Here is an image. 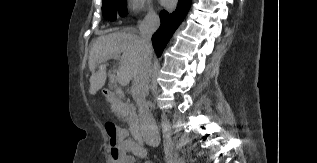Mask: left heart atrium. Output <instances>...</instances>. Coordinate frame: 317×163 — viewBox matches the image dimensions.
I'll use <instances>...</instances> for the list:
<instances>
[{"instance_id":"1","label":"left heart atrium","mask_w":317,"mask_h":163,"mask_svg":"<svg viewBox=\"0 0 317 163\" xmlns=\"http://www.w3.org/2000/svg\"><path fill=\"white\" fill-rule=\"evenodd\" d=\"M162 2L165 4V5H168L170 3H173L174 0H162Z\"/></svg>"}]
</instances>
